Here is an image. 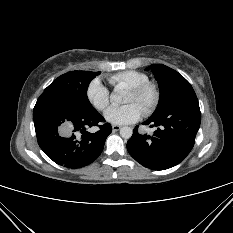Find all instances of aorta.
<instances>
[{
    "mask_svg": "<svg viewBox=\"0 0 233 233\" xmlns=\"http://www.w3.org/2000/svg\"><path fill=\"white\" fill-rule=\"evenodd\" d=\"M123 96H124V91L122 90V88L120 86H117L114 89V91L110 97H111V100H113V101L121 102L123 99ZM132 134H133V130H132V128H130L128 126L122 127L120 129V135L124 139L131 138Z\"/></svg>",
    "mask_w": 233,
    "mask_h": 233,
    "instance_id": "aorta-1",
    "label": "aorta"
}]
</instances>
